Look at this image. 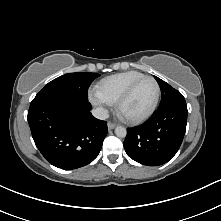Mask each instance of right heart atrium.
<instances>
[{"label":"right heart atrium","instance_id":"obj_1","mask_svg":"<svg viewBox=\"0 0 221 221\" xmlns=\"http://www.w3.org/2000/svg\"><path fill=\"white\" fill-rule=\"evenodd\" d=\"M89 99L95 106H97L103 111H105L110 104L104 98H102L97 92L94 91H91L89 93Z\"/></svg>","mask_w":221,"mask_h":221}]
</instances>
